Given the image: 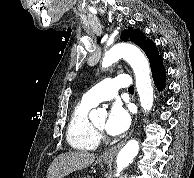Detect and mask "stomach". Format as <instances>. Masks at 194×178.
Instances as JSON below:
<instances>
[{
	"label": "stomach",
	"instance_id": "obj_1",
	"mask_svg": "<svg viewBox=\"0 0 194 178\" xmlns=\"http://www.w3.org/2000/svg\"><path fill=\"white\" fill-rule=\"evenodd\" d=\"M101 162H103V163H110L111 162V159H101Z\"/></svg>",
	"mask_w": 194,
	"mask_h": 178
}]
</instances>
